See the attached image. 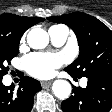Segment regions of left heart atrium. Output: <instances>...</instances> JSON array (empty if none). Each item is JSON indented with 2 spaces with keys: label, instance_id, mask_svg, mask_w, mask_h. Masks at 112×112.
<instances>
[{
  "label": "left heart atrium",
  "instance_id": "obj_1",
  "mask_svg": "<svg viewBox=\"0 0 112 112\" xmlns=\"http://www.w3.org/2000/svg\"><path fill=\"white\" fill-rule=\"evenodd\" d=\"M67 61L63 53H32L24 57L26 71L36 78H47Z\"/></svg>",
  "mask_w": 112,
  "mask_h": 112
}]
</instances>
